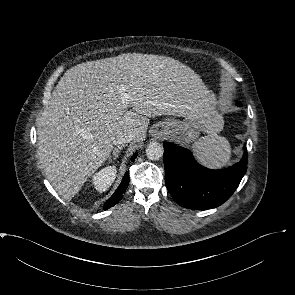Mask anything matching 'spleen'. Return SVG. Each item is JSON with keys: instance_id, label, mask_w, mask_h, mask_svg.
I'll return each mask as SVG.
<instances>
[{"instance_id": "1", "label": "spleen", "mask_w": 295, "mask_h": 295, "mask_svg": "<svg viewBox=\"0 0 295 295\" xmlns=\"http://www.w3.org/2000/svg\"><path fill=\"white\" fill-rule=\"evenodd\" d=\"M192 148L204 165L211 168H220L229 163L231 146L225 137L208 135L198 139Z\"/></svg>"}]
</instances>
